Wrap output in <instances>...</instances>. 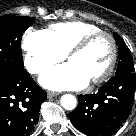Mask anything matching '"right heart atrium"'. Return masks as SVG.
<instances>
[{"label":"right heart atrium","mask_w":136,"mask_h":136,"mask_svg":"<svg viewBox=\"0 0 136 136\" xmlns=\"http://www.w3.org/2000/svg\"><path fill=\"white\" fill-rule=\"evenodd\" d=\"M23 62L32 74H41L64 57L45 31L27 30L22 37Z\"/></svg>","instance_id":"obj_1"}]
</instances>
